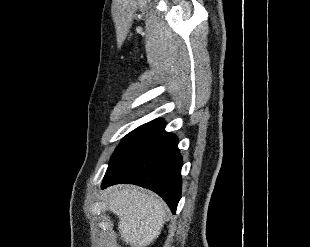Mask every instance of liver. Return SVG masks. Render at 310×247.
I'll return each instance as SVG.
<instances>
[{
  "label": "liver",
  "instance_id": "6515ba94",
  "mask_svg": "<svg viewBox=\"0 0 310 247\" xmlns=\"http://www.w3.org/2000/svg\"><path fill=\"white\" fill-rule=\"evenodd\" d=\"M108 209L119 218L120 238L131 247H147L161 233L166 206L153 193L135 186H111L104 192Z\"/></svg>",
  "mask_w": 310,
  "mask_h": 247
}]
</instances>
